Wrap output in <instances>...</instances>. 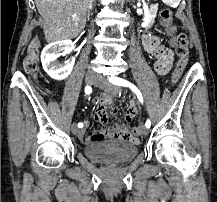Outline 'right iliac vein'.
<instances>
[{
  "label": "right iliac vein",
  "instance_id": "1",
  "mask_svg": "<svg viewBox=\"0 0 217 202\" xmlns=\"http://www.w3.org/2000/svg\"><path fill=\"white\" fill-rule=\"evenodd\" d=\"M95 81H96V76L93 73H87L85 75V82L87 85H91L95 83ZM71 131L74 135H78L80 133V131L77 128L76 123L72 124Z\"/></svg>",
  "mask_w": 217,
  "mask_h": 202
}]
</instances>
